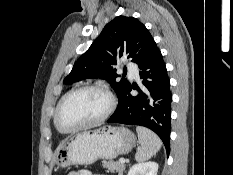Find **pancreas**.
Here are the masks:
<instances>
[{
    "instance_id": "obj_1",
    "label": "pancreas",
    "mask_w": 233,
    "mask_h": 175,
    "mask_svg": "<svg viewBox=\"0 0 233 175\" xmlns=\"http://www.w3.org/2000/svg\"><path fill=\"white\" fill-rule=\"evenodd\" d=\"M103 167L108 168L111 172H117L118 175H123L125 170V165L121 164L120 162H116L113 160H103L102 161Z\"/></svg>"
}]
</instances>
